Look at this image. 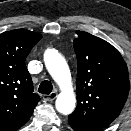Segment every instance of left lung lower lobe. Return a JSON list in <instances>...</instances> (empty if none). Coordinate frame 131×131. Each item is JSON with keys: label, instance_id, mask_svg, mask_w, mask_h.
I'll use <instances>...</instances> for the list:
<instances>
[{"label": "left lung lower lobe", "instance_id": "1", "mask_svg": "<svg viewBox=\"0 0 131 131\" xmlns=\"http://www.w3.org/2000/svg\"><path fill=\"white\" fill-rule=\"evenodd\" d=\"M71 125V127L75 130V131H84L82 130L79 126L75 125L74 123H69Z\"/></svg>", "mask_w": 131, "mask_h": 131}]
</instances>
